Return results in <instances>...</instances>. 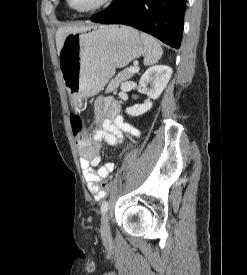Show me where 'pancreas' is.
<instances>
[{
    "label": "pancreas",
    "instance_id": "obj_1",
    "mask_svg": "<svg viewBox=\"0 0 247 275\" xmlns=\"http://www.w3.org/2000/svg\"><path fill=\"white\" fill-rule=\"evenodd\" d=\"M132 76L133 73H130L128 70L118 73L115 78L108 84L106 88V93L116 92L118 86L122 82L129 80Z\"/></svg>",
    "mask_w": 247,
    "mask_h": 275
}]
</instances>
